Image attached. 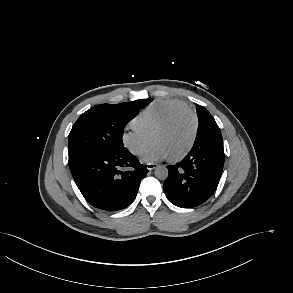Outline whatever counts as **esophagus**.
Masks as SVG:
<instances>
[{"label": "esophagus", "instance_id": "1", "mask_svg": "<svg viewBox=\"0 0 293 293\" xmlns=\"http://www.w3.org/2000/svg\"><path fill=\"white\" fill-rule=\"evenodd\" d=\"M146 166L149 171H151L157 167V165L154 163H148Z\"/></svg>", "mask_w": 293, "mask_h": 293}]
</instances>
